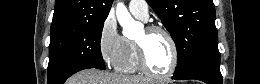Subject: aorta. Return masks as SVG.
<instances>
[{"mask_svg":"<svg viewBox=\"0 0 260 84\" xmlns=\"http://www.w3.org/2000/svg\"><path fill=\"white\" fill-rule=\"evenodd\" d=\"M116 17L119 24L123 27V34L127 37L131 36L132 29L138 28L140 25L132 18L123 3L117 4Z\"/></svg>","mask_w":260,"mask_h":84,"instance_id":"obj_1","label":"aorta"}]
</instances>
